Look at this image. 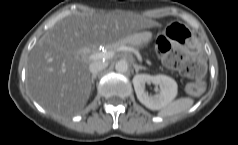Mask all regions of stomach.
Segmentation results:
<instances>
[{
	"label": "stomach",
	"instance_id": "0dacf381",
	"mask_svg": "<svg viewBox=\"0 0 238 145\" xmlns=\"http://www.w3.org/2000/svg\"><path fill=\"white\" fill-rule=\"evenodd\" d=\"M167 37L175 44L183 46L191 53L201 50V43L192 31L180 21H171L165 29Z\"/></svg>",
	"mask_w": 238,
	"mask_h": 145
}]
</instances>
